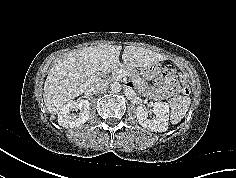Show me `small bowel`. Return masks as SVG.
Wrapping results in <instances>:
<instances>
[{
    "label": "small bowel",
    "instance_id": "small-bowel-1",
    "mask_svg": "<svg viewBox=\"0 0 236 178\" xmlns=\"http://www.w3.org/2000/svg\"><path fill=\"white\" fill-rule=\"evenodd\" d=\"M179 83L176 80H168L160 76L153 84L148 96L154 100H161L167 96H171L180 91L182 87L187 84L188 76L185 73L179 75ZM133 85V84H131Z\"/></svg>",
    "mask_w": 236,
    "mask_h": 178
}]
</instances>
